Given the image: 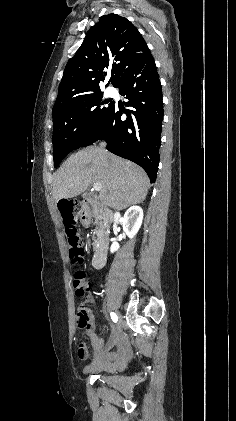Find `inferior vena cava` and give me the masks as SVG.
I'll return each mask as SVG.
<instances>
[{
  "label": "inferior vena cava",
  "instance_id": "1",
  "mask_svg": "<svg viewBox=\"0 0 236 421\" xmlns=\"http://www.w3.org/2000/svg\"><path fill=\"white\" fill-rule=\"evenodd\" d=\"M100 146H101L102 150H104V152H106V148H105L106 142H101Z\"/></svg>",
  "mask_w": 236,
  "mask_h": 421
}]
</instances>
